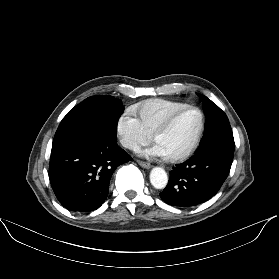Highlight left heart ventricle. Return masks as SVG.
<instances>
[{
    "label": "left heart ventricle",
    "instance_id": "1",
    "mask_svg": "<svg viewBox=\"0 0 279 279\" xmlns=\"http://www.w3.org/2000/svg\"><path fill=\"white\" fill-rule=\"evenodd\" d=\"M198 127V113L186 110L176 118L166 133L156 139V143L163 147L168 157L181 154L191 144Z\"/></svg>",
    "mask_w": 279,
    "mask_h": 279
}]
</instances>
